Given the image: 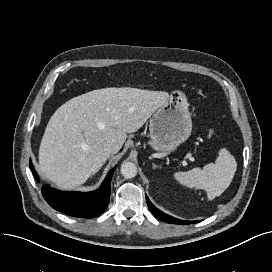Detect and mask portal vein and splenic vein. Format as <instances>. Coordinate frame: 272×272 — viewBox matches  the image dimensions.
Masks as SVG:
<instances>
[{
    "label": "portal vein and splenic vein",
    "instance_id": "portal-vein-and-splenic-vein-1",
    "mask_svg": "<svg viewBox=\"0 0 272 272\" xmlns=\"http://www.w3.org/2000/svg\"><path fill=\"white\" fill-rule=\"evenodd\" d=\"M188 159H189L190 161H195V159H194L193 157H191V156H189ZM183 165H186V162H185V161H183Z\"/></svg>",
    "mask_w": 272,
    "mask_h": 272
}]
</instances>
